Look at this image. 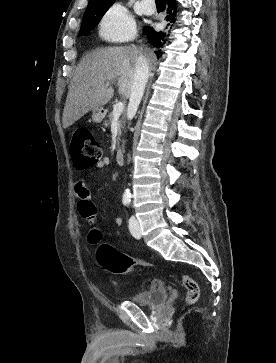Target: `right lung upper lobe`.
<instances>
[{"label":"right lung upper lobe","instance_id":"cb5924a9","mask_svg":"<svg viewBox=\"0 0 276 363\" xmlns=\"http://www.w3.org/2000/svg\"><path fill=\"white\" fill-rule=\"evenodd\" d=\"M115 0H90L88 5H98L105 3H114Z\"/></svg>","mask_w":276,"mask_h":363}]
</instances>
